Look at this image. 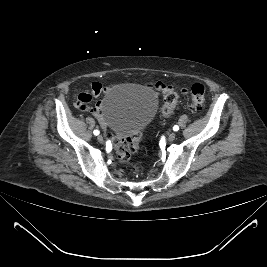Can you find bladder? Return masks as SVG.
<instances>
[{"label": "bladder", "mask_w": 267, "mask_h": 267, "mask_svg": "<svg viewBox=\"0 0 267 267\" xmlns=\"http://www.w3.org/2000/svg\"><path fill=\"white\" fill-rule=\"evenodd\" d=\"M157 107V100L147 89L134 84H121L104 97L102 118L117 136H130L151 122Z\"/></svg>", "instance_id": "31cf9c89"}]
</instances>
